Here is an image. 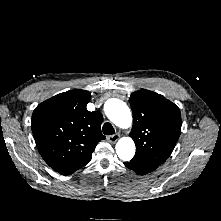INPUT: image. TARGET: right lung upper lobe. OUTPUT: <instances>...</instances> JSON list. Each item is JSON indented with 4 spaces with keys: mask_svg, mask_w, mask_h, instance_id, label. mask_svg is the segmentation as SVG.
Wrapping results in <instances>:
<instances>
[{
    "mask_svg": "<svg viewBox=\"0 0 221 221\" xmlns=\"http://www.w3.org/2000/svg\"><path fill=\"white\" fill-rule=\"evenodd\" d=\"M88 91L70 90L37 106L32 114V132L36 146L55 171L70 175L92 158L101 133L102 115L90 112Z\"/></svg>",
    "mask_w": 221,
    "mask_h": 221,
    "instance_id": "obj_1",
    "label": "right lung upper lobe"
}]
</instances>
